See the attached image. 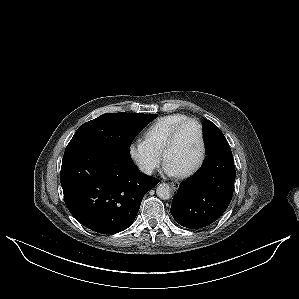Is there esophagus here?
Masks as SVG:
<instances>
[{
    "label": "esophagus",
    "mask_w": 299,
    "mask_h": 299,
    "mask_svg": "<svg viewBox=\"0 0 299 299\" xmlns=\"http://www.w3.org/2000/svg\"><path fill=\"white\" fill-rule=\"evenodd\" d=\"M170 185H171V187L173 188V190H177V189H178V186H179V183H176V182H170Z\"/></svg>",
    "instance_id": "1"
}]
</instances>
